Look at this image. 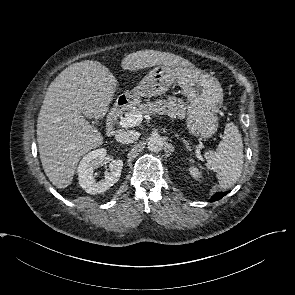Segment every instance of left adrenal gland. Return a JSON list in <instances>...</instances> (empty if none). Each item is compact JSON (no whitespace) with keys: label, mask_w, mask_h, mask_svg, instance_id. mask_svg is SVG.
I'll return each mask as SVG.
<instances>
[{"label":"left adrenal gland","mask_w":295,"mask_h":295,"mask_svg":"<svg viewBox=\"0 0 295 295\" xmlns=\"http://www.w3.org/2000/svg\"><path fill=\"white\" fill-rule=\"evenodd\" d=\"M175 136L179 137L178 134H175ZM181 140L184 142L186 149L191 150V146H190L189 142L187 140H185L184 138H181Z\"/></svg>","instance_id":"left-adrenal-gland-1"}]
</instances>
